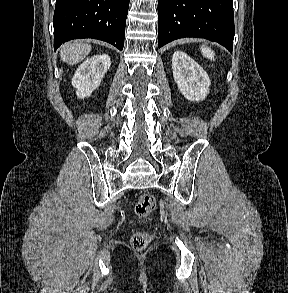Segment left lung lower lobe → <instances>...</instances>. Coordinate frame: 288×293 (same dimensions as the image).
I'll return each instance as SVG.
<instances>
[{
	"instance_id": "1",
	"label": "left lung lower lobe",
	"mask_w": 288,
	"mask_h": 293,
	"mask_svg": "<svg viewBox=\"0 0 288 293\" xmlns=\"http://www.w3.org/2000/svg\"><path fill=\"white\" fill-rule=\"evenodd\" d=\"M232 0H158V47L179 38L218 42L232 53Z\"/></svg>"
}]
</instances>
